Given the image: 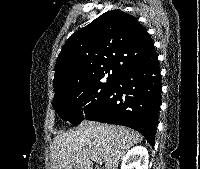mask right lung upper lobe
<instances>
[{
  "label": "right lung upper lobe",
  "instance_id": "obj_1",
  "mask_svg": "<svg viewBox=\"0 0 200 169\" xmlns=\"http://www.w3.org/2000/svg\"><path fill=\"white\" fill-rule=\"evenodd\" d=\"M157 59L153 42L138 20L121 10L108 11L70 36L58 55L55 99L92 81L123 73Z\"/></svg>",
  "mask_w": 200,
  "mask_h": 169
}]
</instances>
